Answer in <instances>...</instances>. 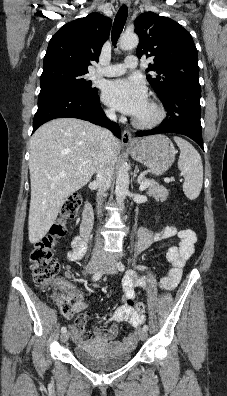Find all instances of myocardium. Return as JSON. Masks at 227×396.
<instances>
[{
  "mask_svg": "<svg viewBox=\"0 0 227 396\" xmlns=\"http://www.w3.org/2000/svg\"><path fill=\"white\" fill-rule=\"evenodd\" d=\"M149 104L155 112L154 116L148 120H141L135 117L132 120L134 126L141 129H151L157 127L165 120L166 110L164 106L156 100H150Z\"/></svg>",
  "mask_w": 227,
  "mask_h": 396,
  "instance_id": "obj_1",
  "label": "myocardium"
}]
</instances>
